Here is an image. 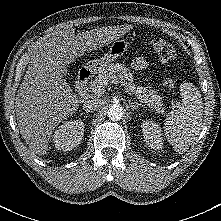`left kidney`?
I'll return each instance as SVG.
<instances>
[{
  "label": "left kidney",
  "instance_id": "left-kidney-1",
  "mask_svg": "<svg viewBox=\"0 0 221 221\" xmlns=\"http://www.w3.org/2000/svg\"><path fill=\"white\" fill-rule=\"evenodd\" d=\"M141 128L147 145L154 150L162 149L163 142L159 125L154 121L146 120L142 122Z\"/></svg>",
  "mask_w": 221,
  "mask_h": 221
}]
</instances>
